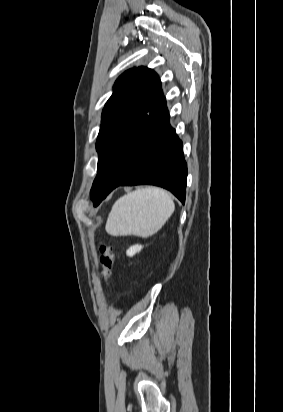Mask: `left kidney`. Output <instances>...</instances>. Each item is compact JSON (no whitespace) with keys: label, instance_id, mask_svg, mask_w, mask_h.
<instances>
[{"label":"left kidney","instance_id":"1","mask_svg":"<svg viewBox=\"0 0 283 412\" xmlns=\"http://www.w3.org/2000/svg\"><path fill=\"white\" fill-rule=\"evenodd\" d=\"M141 249H142V246H141V245H138V244H137V245H133V246H131V247L127 250L126 254H127V256L132 257V256H134L137 252H140Z\"/></svg>","mask_w":283,"mask_h":412}]
</instances>
